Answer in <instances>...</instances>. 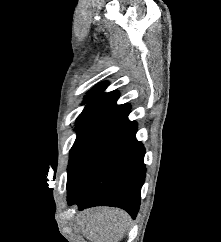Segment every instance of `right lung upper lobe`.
<instances>
[{"label": "right lung upper lobe", "mask_w": 221, "mask_h": 242, "mask_svg": "<svg viewBox=\"0 0 221 242\" xmlns=\"http://www.w3.org/2000/svg\"><path fill=\"white\" fill-rule=\"evenodd\" d=\"M107 85V82L100 83L87 93L84 103L88 104L78 116L77 126L96 125L101 127L131 108L129 104H116L119 97L117 91L104 93Z\"/></svg>", "instance_id": "1"}]
</instances>
